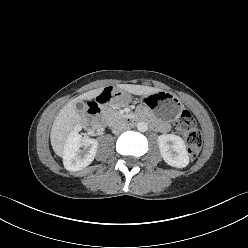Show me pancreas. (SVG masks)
<instances>
[{"label":"pancreas","mask_w":248,"mask_h":248,"mask_svg":"<svg viewBox=\"0 0 248 248\" xmlns=\"http://www.w3.org/2000/svg\"><path fill=\"white\" fill-rule=\"evenodd\" d=\"M120 117V114L117 110H114L112 108H108L105 112V118L109 123H113L115 120H117Z\"/></svg>","instance_id":"cf45deb5"}]
</instances>
